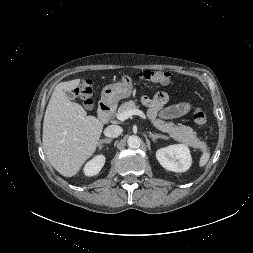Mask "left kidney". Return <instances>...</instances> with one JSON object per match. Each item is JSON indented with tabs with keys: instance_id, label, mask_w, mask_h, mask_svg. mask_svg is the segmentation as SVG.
I'll use <instances>...</instances> for the list:
<instances>
[{
	"instance_id": "5707ae66",
	"label": "left kidney",
	"mask_w": 253,
	"mask_h": 253,
	"mask_svg": "<svg viewBox=\"0 0 253 253\" xmlns=\"http://www.w3.org/2000/svg\"><path fill=\"white\" fill-rule=\"evenodd\" d=\"M156 158L162 167L173 172H185L192 163L190 150L184 144H175L158 149Z\"/></svg>"
}]
</instances>
